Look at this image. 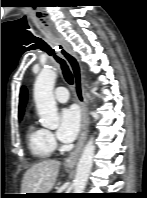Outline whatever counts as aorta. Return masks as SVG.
<instances>
[{
	"instance_id": "1",
	"label": "aorta",
	"mask_w": 147,
	"mask_h": 198,
	"mask_svg": "<svg viewBox=\"0 0 147 198\" xmlns=\"http://www.w3.org/2000/svg\"><path fill=\"white\" fill-rule=\"evenodd\" d=\"M56 78L55 70L45 68L39 73L34 84V101L41 125L51 129L59 125L57 104L53 96ZM94 152V138L90 137L77 164L73 193H83L91 171Z\"/></svg>"
}]
</instances>
